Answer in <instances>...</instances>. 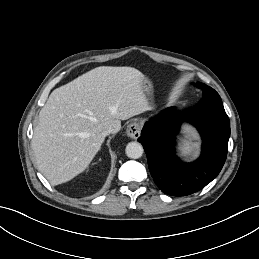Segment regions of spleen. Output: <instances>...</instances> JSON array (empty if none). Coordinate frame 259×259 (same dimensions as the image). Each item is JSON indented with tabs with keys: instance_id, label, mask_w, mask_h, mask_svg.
Segmentation results:
<instances>
[{
	"instance_id": "spleen-1",
	"label": "spleen",
	"mask_w": 259,
	"mask_h": 259,
	"mask_svg": "<svg viewBox=\"0 0 259 259\" xmlns=\"http://www.w3.org/2000/svg\"><path fill=\"white\" fill-rule=\"evenodd\" d=\"M194 135L186 131L184 138L181 140L180 152L183 156H190L194 153L196 143L194 142Z\"/></svg>"
}]
</instances>
